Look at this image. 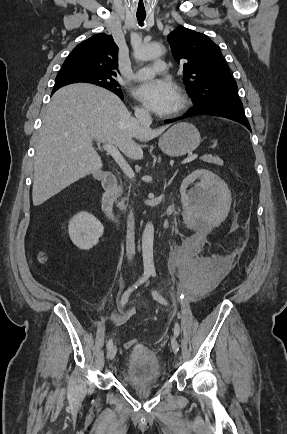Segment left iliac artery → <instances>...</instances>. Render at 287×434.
Instances as JSON below:
<instances>
[{"label": "left iliac artery", "instance_id": "1", "mask_svg": "<svg viewBox=\"0 0 287 434\" xmlns=\"http://www.w3.org/2000/svg\"><path fill=\"white\" fill-rule=\"evenodd\" d=\"M151 275L154 277L155 276V272H152ZM152 296L159 303H161L163 305H167L168 304L167 301L157 291L152 290ZM179 333H180V326H179L178 323H175V326H174V335L176 337H178Z\"/></svg>", "mask_w": 287, "mask_h": 434}]
</instances>
